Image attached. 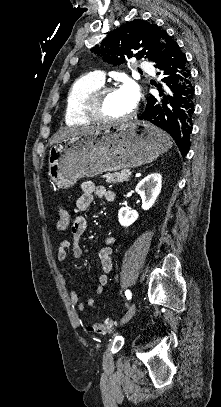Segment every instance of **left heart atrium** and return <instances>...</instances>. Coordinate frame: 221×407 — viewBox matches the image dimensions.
<instances>
[{
    "label": "left heart atrium",
    "mask_w": 221,
    "mask_h": 407,
    "mask_svg": "<svg viewBox=\"0 0 221 407\" xmlns=\"http://www.w3.org/2000/svg\"><path fill=\"white\" fill-rule=\"evenodd\" d=\"M128 103L134 108L139 100V90L132 81H125L119 89Z\"/></svg>",
    "instance_id": "left-heart-atrium-1"
}]
</instances>
